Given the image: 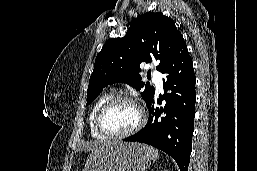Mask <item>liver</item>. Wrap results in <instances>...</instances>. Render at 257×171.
<instances>
[{"label":"liver","mask_w":257,"mask_h":171,"mask_svg":"<svg viewBox=\"0 0 257 171\" xmlns=\"http://www.w3.org/2000/svg\"><path fill=\"white\" fill-rule=\"evenodd\" d=\"M112 142H90V143H86L83 145V148L86 150V151H97L99 150L100 148L110 144Z\"/></svg>","instance_id":"6515ba94"}]
</instances>
